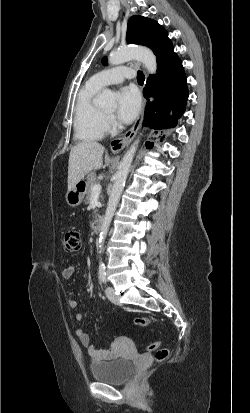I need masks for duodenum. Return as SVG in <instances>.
<instances>
[{
    "label": "duodenum",
    "mask_w": 250,
    "mask_h": 413,
    "mask_svg": "<svg viewBox=\"0 0 250 413\" xmlns=\"http://www.w3.org/2000/svg\"><path fill=\"white\" fill-rule=\"evenodd\" d=\"M103 225V219L101 217H98L94 220L92 223V231L94 233H99Z\"/></svg>",
    "instance_id": "1"
}]
</instances>
